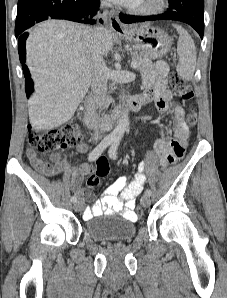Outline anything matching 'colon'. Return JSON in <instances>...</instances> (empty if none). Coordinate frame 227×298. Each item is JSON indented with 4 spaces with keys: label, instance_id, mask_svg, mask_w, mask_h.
I'll return each instance as SVG.
<instances>
[{
    "label": "colon",
    "instance_id": "colon-1",
    "mask_svg": "<svg viewBox=\"0 0 227 298\" xmlns=\"http://www.w3.org/2000/svg\"><path fill=\"white\" fill-rule=\"evenodd\" d=\"M171 87L180 95L185 101H190L193 98V90L190 85L176 72H172L169 76ZM26 92L28 96L34 93V83L31 78L26 80ZM188 123L195 125L197 122V112L190 109L188 113ZM82 136L78 128L67 125L59 130H50L44 133H37L29 129V144L34 149L42 153L58 154L61 150L77 144ZM169 163V162H168ZM109 172L108 162L104 158H99L97 161L96 174L88 179V186L92 189L98 187L100 177H104ZM136 212L138 218H144L141 208H137Z\"/></svg>",
    "mask_w": 227,
    "mask_h": 298
}]
</instances>
